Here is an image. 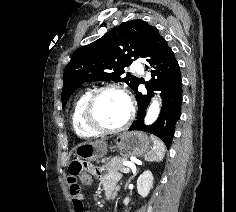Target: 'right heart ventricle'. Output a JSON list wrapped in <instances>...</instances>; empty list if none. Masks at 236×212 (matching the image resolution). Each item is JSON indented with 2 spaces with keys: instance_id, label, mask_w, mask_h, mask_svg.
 Listing matches in <instances>:
<instances>
[{
  "instance_id": "obj_1",
  "label": "right heart ventricle",
  "mask_w": 236,
  "mask_h": 212,
  "mask_svg": "<svg viewBox=\"0 0 236 212\" xmlns=\"http://www.w3.org/2000/svg\"><path fill=\"white\" fill-rule=\"evenodd\" d=\"M90 94V89L81 91L75 98L71 109L72 128L75 134L80 138H93L98 136V133L89 129L84 122V107Z\"/></svg>"
}]
</instances>
